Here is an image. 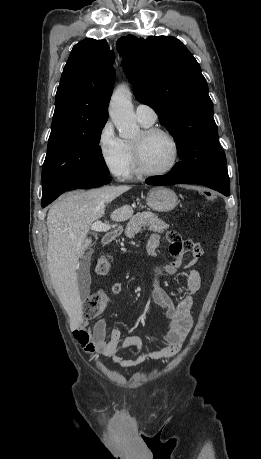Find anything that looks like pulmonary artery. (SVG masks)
I'll return each mask as SVG.
<instances>
[{
  "label": "pulmonary artery",
  "mask_w": 261,
  "mask_h": 459,
  "mask_svg": "<svg viewBox=\"0 0 261 459\" xmlns=\"http://www.w3.org/2000/svg\"><path fill=\"white\" fill-rule=\"evenodd\" d=\"M135 112L139 122L153 124L157 120V114L154 109L146 104L137 105Z\"/></svg>",
  "instance_id": "1"
}]
</instances>
